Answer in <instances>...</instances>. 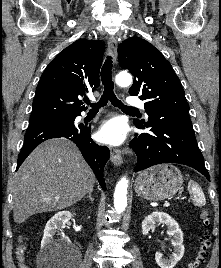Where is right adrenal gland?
<instances>
[{
    "label": "right adrenal gland",
    "mask_w": 221,
    "mask_h": 268,
    "mask_svg": "<svg viewBox=\"0 0 221 268\" xmlns=\"http://www.w3.org/2000/svg\"><path fill=\"white\" fill-rule=\"evenodd\" d=\"M84 198H89V200H90L91 202H93L92 191H90V192L88 193V195L85 196Z\"/></svg>",
    "instance_id": "1"
}]
</instances>
